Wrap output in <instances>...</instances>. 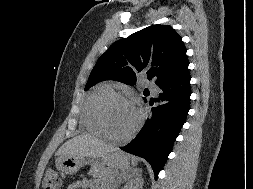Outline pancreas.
I'll use <instances>...</instances> for the list:
<instances>
[{
	"label": "pancreas",
	"instance_id": "cf45deb5",
	"mask_svg": "<svg viewBox=\"0 0 253 189\" xmlns=\"http://www.w3.org/2000/svg\"><path fill=\"white\" fill-rule=\"evenodd\" d=\"M90 175L97 178L102 184L109 186L113 182L116 172L102 166H93Z\"/></svg>",
	"mask_w": 253,
	"mask_h": 189
}]
</instances>
